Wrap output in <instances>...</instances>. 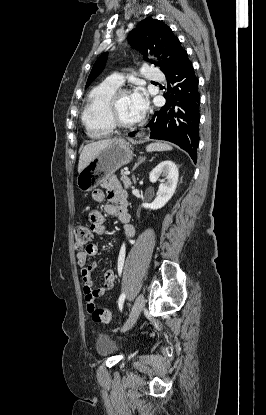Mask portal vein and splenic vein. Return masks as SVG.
Segmentation results:
<instances>
[{
	"label": "portal vein and splenic vein",
	"instance_id": "obj_1",
	"mask_svg": "<svg viewBox=\"0 0 266 415\" xmlns=\"http://www.w3.org/2000/svg\"><path fill=\"white\" fill-rule=\"evenodd\" d=\"M124 173L128 175L130 174V171L126 170Z\"/></svg>",
	"mask_w": 266,
	"mask_h": 415
}]
</instances>
